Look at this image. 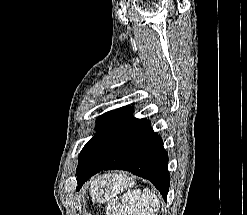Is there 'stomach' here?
Here are the masks:
<instances>
[{"mask_svg":"<svg viewBox=\"0 0 247 215\" xmlns=\"http://www.w3.org/2000/svg\"><path fill=\"white\" fill-rule=\"evenodd\" d=\"M130 179L126 176L117 178V175L100 176L93 181L91 193L98 201H104L129 186Z\"/></svg>","mask_w":247,"mask_h":215,"instance_id":"stomach-1","label":"stomach"}]
</instances>
